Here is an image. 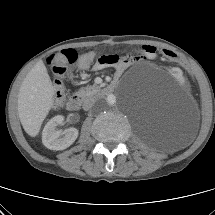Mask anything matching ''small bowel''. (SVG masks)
<instances>
[{"label":"small bowel","instance_id":"obj_1","mask_svg":"<svg viewBox=\"0 0 215 215\" xmlns=\"http://www.w3.org/2000/svg\"><path fill=\"white\" fill-rule=\"evenodd\" d=\"M137 52L138 56L135 57H119L114 54L104 55L95 62L93 68L95 70H101L107 67H114L116 73L120 75L124 70L138 61L156 59L159 56V50L152 45H143Z\"/></svg>","mask_w":215,"mask_h":215}]
</instances>
